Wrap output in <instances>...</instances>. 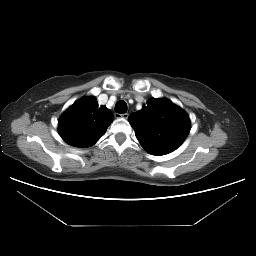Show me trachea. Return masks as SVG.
Masks as SVG:
<instances>
[{"label": "trachea", "instance_id": "3493384b", "mask_svg": "<svg viewBox=\"0 0 256 256\" xmlns=\"http://www.w3.org/2000/svg\"><path fill=\"white\" fill-rule=\"evenodd\" d=\"M115 111L119 114H124L127 112V104L125 101L120 100L115 105Z\"/></svg>", "mask_w": 256, "mask_h": 256}]
</instances>
